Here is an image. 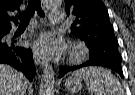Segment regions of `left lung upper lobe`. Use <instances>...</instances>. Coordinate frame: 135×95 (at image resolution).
Here are the masks:
<instances>
[{
	"instance_id": "1",
	"label": "left lung upper lobe",
	"mask_w": 135,
	"mask_h": 95,
	"mask_svg": "<svg viewBox=\"0 0 135 95\" xmlns=\"http://www.w3.org/2000/svg\"><path fill=\"white\" fill-rule=\"evenodd\" d=\"M64 1L67 15L76 16L71 32L87 44L89 51L103 52L110 47L118 49L113 26L102 0Z\"/></svg>"
}]
</instances>
